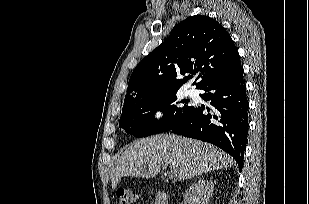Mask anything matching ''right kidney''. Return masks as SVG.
I'll return each mask as SVG.
<instances>
[{
    "label": "right kidney",
    "instance_id": "1",
    "mask_svg": "<svg viewBox=\"0 0 309 204\" xmlns=\"http://www.w3.org/2000/svg\"><path fill=\"white\" fill-rule=\"evenodd\" d=\"M213 189L212 181L199 180L186 190L184 200L186 204H209Z\"/></svg>",
    "mask_w": 309,
    "mask_h": 204
}]
</instances>
